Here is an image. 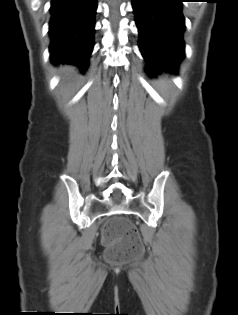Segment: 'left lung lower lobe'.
<instances>
[{
	"instance_id": "left-lung-lower-lobe-1",
	"label": "left lung lower lobe",
	"mask_w": 238,
	"mask_h": 315,
	"mask_svg": "<svg viewBox=\"0 0 238 315\" xmlns=\"http://www.w3.org/2000/svg\"><path fill=\"white\" fill-rule=\"evenodd\" d=\"M184 0H132L146 72H177L185 56Z\"/></svg>"
}]
</instances>
